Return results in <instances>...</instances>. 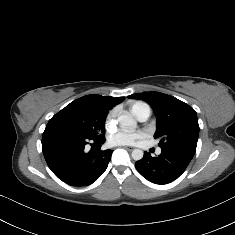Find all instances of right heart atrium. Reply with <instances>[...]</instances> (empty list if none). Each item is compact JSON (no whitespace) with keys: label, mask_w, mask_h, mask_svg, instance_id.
<instances>
[{"label":"right heart atrium","mask_w":235,"mask_h":235,"mask_svg":"<svg viewBox=\"0 0 235 235\" xmlns=\"http://www.w3.org/2000/svg\"><path fill=\"white\" fill-rule=\"evenodd\" d=\"M116 115H117V109L116 108H113L107 115L106 117V120H105V124L107 126H110L114 123L115 121V118H116Z\"/></svg>","instance_id":"d8ad5b80"}]
</instances>
